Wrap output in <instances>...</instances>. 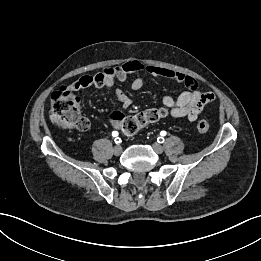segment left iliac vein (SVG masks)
<instances>
[{
    "instance_id": "4c4485c4",
    "label": "left iliac vein",
    "mask_w": 261,
    "mask_h": 261,
    "mask_svg": "<svg viewBox=\"0 0 261 261\" xmlns=\"http://www.w3.org/2000/svg\"><path fill=\"white\" fill-rule=\"evenodd\" d=\"M152 147L157 154H161L164 151L163 147L160 144L155 143L152 145Z\"/></svg>"
}]
</instances>
